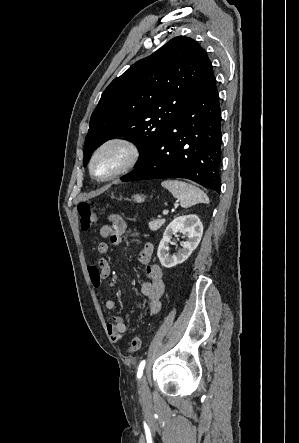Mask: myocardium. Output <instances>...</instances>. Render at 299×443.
Returning a JSON list of instances; mask_svg holds the SVG:
<instances>
[{
	"instance_id": "obj_1",
	"label": "myocardium",
	"mask_w": 299,
	"mask_h": 443,
	"mask_svg": "<svg viewBox=\"0 0 299 443\" xmlns=\"http://www.w3.org/2000/svg\"><path fill=\"white\" fill-rule=\"evenodd\" d=\"M117 148L122 151L121 161L109 173L100 175L95 166L99 158L109 149ZM141 150L137 143L126 136H112L102 141L93 151L88 170L92 179L97 182H108L130 171L140 160Z\"/></svg>"
}]
</instances>
